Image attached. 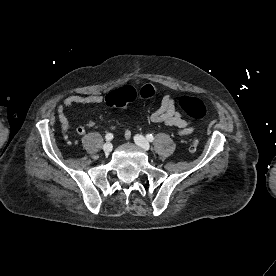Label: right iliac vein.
Masks as SVG:
<instances>
[{
	"label": "right iliac vein",
	"mask_w": 276,
	"mask_h": 276,
	"mask_svg": "<svg viewBox=\"0 0 276 276\" xmlns=\"http://www.w3.org/2000/svg\"><path fill=\"white\" fill-rule=\"evenodd\" d=\"M113 145L110 142H107L103 145V151L108 154L112 151Z\"/></svg>",
	"instance_id": "obj_1"
}]
</instances>
